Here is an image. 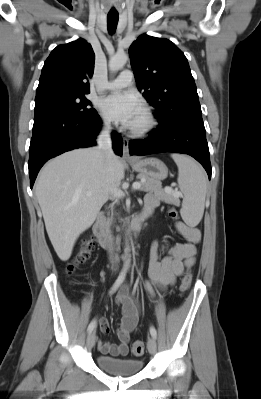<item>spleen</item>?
I'll use <instances>...</instances> for the list:
<instances>
[{"instance_id": "3e777b00", "label": "spleen", "mask_w": 261, "mask_h": 399, "mask_svg": "<svg viewBox=\"0 0 261 399\" xmlns=\"http://www.w3.org/2000/svg\"><path fill=\"white\" fill-rule=\"evenodd\" d=\"M171 157L178 167L177 181L184 196L180 213L184 222L194 227L203 217L207 178L202 167L192 158L181 154H172Z\"/></svg>"}]
</instances>
